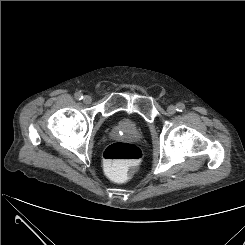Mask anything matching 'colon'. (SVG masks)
Masks as SVG:
<instances>
[{
    "instance_id": "5ec220e1",
    "label": "colon",
    "mask_w": 245,
    "mask_h": 245,
    "mask_svg": "<svg viewBox=\"0 0 245 245\" xmlns=\"http://www.w3.org/2000/svg\"><path fill=\"white\" fill-rule=\"evenodd\" d=\"M143 156L141 148L135 144L114 142L104 151V166L109 177L116 182H124L129 167L139 163Z\"/></svg>"
}]
</instances>
